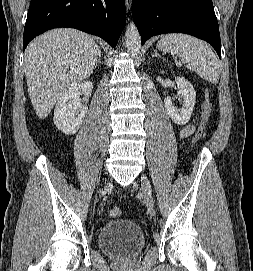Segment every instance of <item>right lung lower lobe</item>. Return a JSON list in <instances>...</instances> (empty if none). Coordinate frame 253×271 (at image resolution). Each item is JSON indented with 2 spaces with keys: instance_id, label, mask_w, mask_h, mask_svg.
Returning a JSON list of instances; mask_svg holds the SVG:
<instances>
[{
  "instance_id": "98d812e1",
  "label": "right lung lower lobe",
  "mask_w": 253,
  "mask_h": 271,
  "mask_svg": "<svg viewBox=\"0 0 253 271\" xmlns=\"http://www.w3.org/2000/svg\"><path fill=\"white\" fill-rule=\"evenodd\" d=\"M126 23L124 0H31L24 27L23 51L41 33L76 28L115 47Z\"/></svg>"
}]
</instances>
